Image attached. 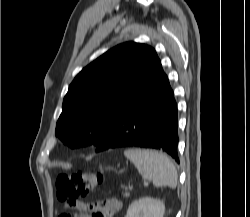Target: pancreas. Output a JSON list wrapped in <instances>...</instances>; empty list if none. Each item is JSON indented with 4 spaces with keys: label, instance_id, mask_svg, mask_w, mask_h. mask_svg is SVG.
Returning a JSON list of instances; mask_svg holds the SVG:
<instances>
[{
    "label": "pancreas",
    "instance_id": "pancreas-1",
    "mask_svg": "<svg viewBox=\"0 0 250 217\" xmlns=\"http://www.w3.org/2000/svg\"><path fill=\"white\" fill-rule=\"evenodd\" d=\"M123 196H124V197H129V196H130V193H129L128 191H125V192L123 193Z\"/></svg>",
    "mask_w": 250,
    "mask_h": 217
}]
</instances>
